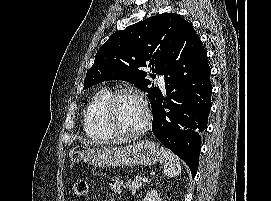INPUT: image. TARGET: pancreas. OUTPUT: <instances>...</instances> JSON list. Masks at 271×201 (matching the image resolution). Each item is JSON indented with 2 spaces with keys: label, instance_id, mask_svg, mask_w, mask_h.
<instances>
[{
  "label": "pancreas",
  "instance_id": "1",
  "mask_svg": "<svg viewBox=\"0 0 271 201\" xmlns=\"http://www.w3.org/2000/svg\"><path fill=\"white\" fill-rule=\"evenodd\" d=\"M142 186V180L140 177L130 179L123 186L125 189H129L132 193H135Z\"/></svg>",
  "mask_w": 271,
  "mask_h": 201
}]
</instances>
